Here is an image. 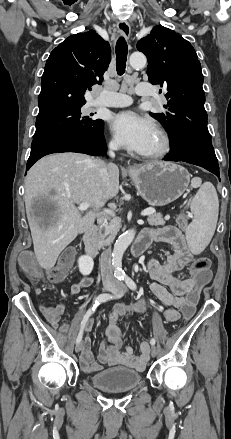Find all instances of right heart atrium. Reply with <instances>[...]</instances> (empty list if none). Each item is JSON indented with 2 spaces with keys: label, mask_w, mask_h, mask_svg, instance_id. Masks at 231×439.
<instances>
[{
  "label": "right heart atrium",
  "mask_w": 231,
  "mask_h": 439,
  "mask_svg": "<svg viewBox=\"0 0 231 439\" xmlns=\"http://www.w3.org/2000/svg\"><path fill=\"white\" fill-rule=\"evenodd\" d=\"M109 146H110L111 148L115 149V148H118V147H119V144H118V142H117L115 139H111V140L109 141Z\"/></svg>",
  "instance_id": "d8ad5b80"
}]
</instances>
